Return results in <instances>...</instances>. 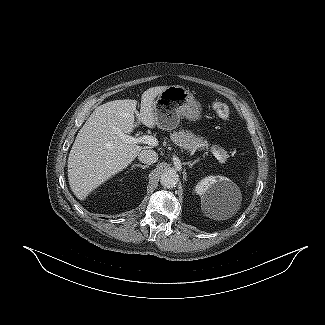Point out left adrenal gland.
Returning <instances> with one entry per match:
<instances>
[{"mask_svg":"<svg viewBox=\"0 0 325 325\" xmlns=\"http://www.w3.org/2000/svg\"><path fill=\"white\" fill-rule=\"evenodd\" d=\"M198 161H199V159L194 160L193 162H187V165H188L189 167H193V165H194L195 163H197Z\"/></svg>","mask_w":325,"mask_h":325,"instance_id":"a2214340","label":"left adrenal gland"}]
</instances>
